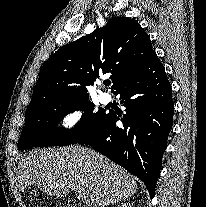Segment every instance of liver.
Masks as SVG:
<instances>
[{"label":"liver","mask_w":206,"mask_h":207,"mask_svg":"<svg viewBox=\"0 0 206 207\" xmlns=\"http://www.w3.org/2000/svg\"><path fill=\"white\" fill-rule=\"evenodd\" d=\"M16 179L21 191L35 185L57 198L68 195L69 185H77L95 207L125 200L137 190L135 178L125 169L82 146L34 150L21 158Z\"/></svg>","instance_id":"1"}]
</instances>
